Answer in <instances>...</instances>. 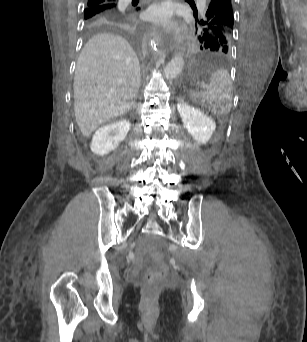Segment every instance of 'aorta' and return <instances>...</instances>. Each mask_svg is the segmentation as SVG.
I'll return each mask as SVG.
<instances>
[{
	"label": "aorta",
	"instance_id": "obj_1",
	"mask_svg": "<svg viewBox=\"0 0 307 342\" xmlns=\"http://www.w3.org/2000/svg\"><path fill=\"white\" fill-rule=\"evenodd\" d=\"M184 60L182 58V54H178V56H175L169 64H167L165 70H164V76L165 78H174V76H177L179 72H181L183 68Z\"/></svg>",
	"mask_w": 307,
	"mask_h": 342
}]
</instances>
